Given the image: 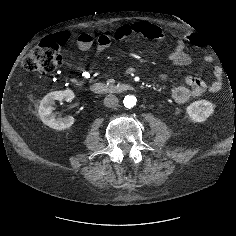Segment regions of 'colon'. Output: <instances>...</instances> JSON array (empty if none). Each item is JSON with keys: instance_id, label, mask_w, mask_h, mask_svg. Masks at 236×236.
I'll use <instances>...</instances> for the list:
<instances>
[{"instance_id": "5ec220e1", "label": "colon", "mask_w": 236, "mask_h": 236, "mask_svg": "<svg viewBox=\"0 0 236 236\" xmlns=\"http://www.w3.org/2000/svg\"><path fill=\"white\" fill-rule=\"evenodd\" d=\"M64 43L56 36L44 39L31 50L23 61V67L30 72L48 74L54 72L62 64L61 47Z\"/></svg>"}]
</instances>
